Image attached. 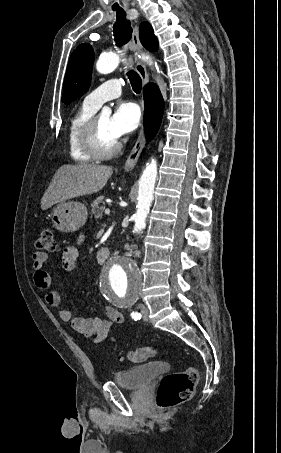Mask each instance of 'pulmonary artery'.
Segmentation results:
<instances>
[{
  "label": "pulmonary artery",
  "mask_w": 281,
  "mask_h": 453,
  "mask_svg": "<svg viewBox=\"0 0 281 453\" xmlns=\"http://www.w3.org/2000/svg\"><path fill=\"white\" fill-rule=\"evenodd\" d=\"M112 90L107 92H102L104 89ZM121 82L119 79L113 78L102 84H100L97 89H95L91 94L87 96V100L95 108H100V106L106 101L116 98L121 94Z\"/></svg>",
  "instance_id": "1"
}]
</instances>
